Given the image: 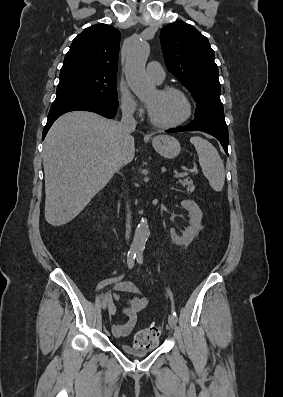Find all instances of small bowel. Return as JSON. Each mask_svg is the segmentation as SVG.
<instances>
[{"mask_svg": "<svg viewBox=\"0 0 283 397\" xmlns=\"http://www.w3.org/2000/svg\"><path fill=\"white\" fill-rule=\"evenodd\" d=\"M114 294L109 298L108 312L111 318H114L117 309L127 316L124 324L114 323L112 333L116 338L128 336L135 327L138 319V313L144 310L148 305V299L140 296L141 289L133 282L123 281L113 286Z\"/></svg>", "mask_w": 283, "mask_h": 397, "instance_id": "obj_1", "label": "small bowel"}]
</instances>
